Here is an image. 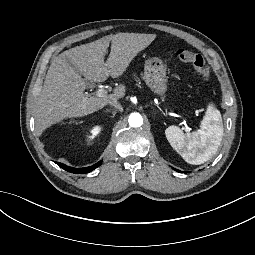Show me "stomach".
Listing matches in <instances>:
<instances>
[{
  "label": "stomach",
  "instance_id": "obj_1",
  "mask_svg": "<svg viewBox=\"0 0 255 255\" xmlns=\"http://www.w3.org/2000/svg\"><path fill=\"white\" fill-rule=\"evenodd\" d=\"M144 80L147 86L158 95H163L167 90L166 68L163 65L146 67Z\"/></svg>",
  "mask_w": 255,
  "mask_h": 255
}]
</instances>
